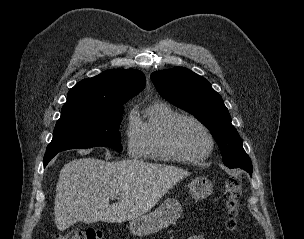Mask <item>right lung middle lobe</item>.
Segmentation results:
<instances>
[{
	"instance_id": "1",
	"label": "right lung middle lobe",
	"mask_w": 304,
	"mask_h": 239,
	"mask_svg": "<svg viewBox=\"0 0 304 239\" xmlns=\"http://www.w3.org/2000/svg\"><path fill=\"white\" fill-rule=\"evenodd\" d=\"M123 106L62 112L46 153L106 146L121 151L119 125Z\"/></svg>"
}]
</instances>
